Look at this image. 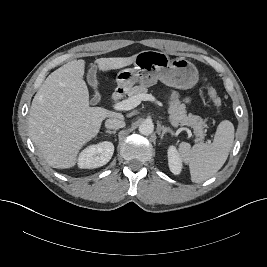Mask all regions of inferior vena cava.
Listing matches in <instances>:
<instances>
[{
    "mask_svg": "<svg viewBox=\"0 0 267 267\" xmlns=\"http://www.w3.org/2000/svg\"><path fill=\"white\" fill-rule=\"evenodd\" d=\"M105 127L107 129H120L125 127V121L123 118L111 117L105 121Z\"/></svg>",
    "mask_w": 267,
    "mask_h": 267,
    "instance_id": "1",
    "label": "inferior vena cava"
}]
</instances>
